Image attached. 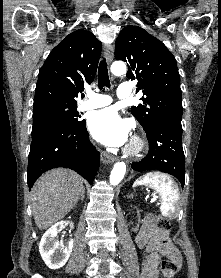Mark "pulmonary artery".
Masks as SVG:
<instances>
[{
  "instance_id": "pulmonary-artery-1",
  "label": "pulmonary artery",
  "mask_w": 221,
  "mask_h": 278,
  "mask_svg": "<svg viewBox=\"0 0 221 278\" xmlns=\"http://www.w3.org/2000/svg\"><path fill=\"white\" fill-rule=\"evenodd\" d=\"M117 97L120 99H129L132 97L131 87L127 83L120 84ZM112 103V98L106 94L95 93L89 91L87 93V99L81 104L83 110H90L107 106Z\"/></svg>"
}]
</instances>
